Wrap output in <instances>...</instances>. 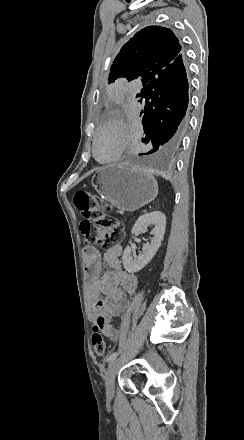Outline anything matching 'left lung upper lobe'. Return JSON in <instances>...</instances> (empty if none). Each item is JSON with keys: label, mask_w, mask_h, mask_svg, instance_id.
<instances>
[{"label": "left lung upper lobe", "mask_w": 244, "mask_h": 440, "mask_svg": "<svg viewBox=\"0 0 244 440\" xmlns=\"http://www.w3.org/2000/svg\"><path fill=\"white\" fill-rule=\"evenodd\" d=\"M182 47L172 30L149 26L137 32L117 54L109 84L138 79L145 86L161 71L177 64Z\"/></svg>", "instance_id": "obj_1"}]
</instances>
